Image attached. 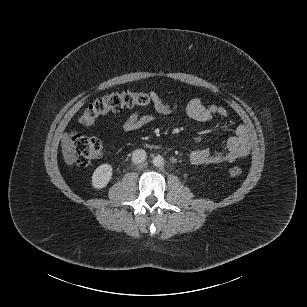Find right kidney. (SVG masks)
I'll list each match as a JSON object with an SVG mask.
<instances>
[{
  "mask_svg": "<svg viewBox=\"0 0 307 307\" xmlns=\"http://www.w3.org/2000/svg\"><path fill=\"white\" fill-rule=\"evenodd\" d=\"M112 177V166L102 164L96 168L92 176V185L96 189H101L107 186Z\"/></svg>",
  "mask_w": 307,
  "mask_h": 307,
  "instance_id": "obj_1",
  "label": "right kidney"
}]
</instances>
